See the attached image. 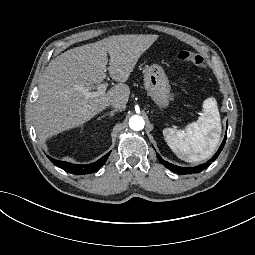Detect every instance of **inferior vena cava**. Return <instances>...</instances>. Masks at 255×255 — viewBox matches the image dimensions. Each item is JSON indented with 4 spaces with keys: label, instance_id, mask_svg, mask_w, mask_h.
<instances>
[{
    "label": "inferior vena cava",
    "instance_id": "602c4592",
    "mask_svg": "<svg viewBox=\"0 0 255 255\" xmlns=\"http://www.w3.org/2000/svg\"><path fill=\"white\" fill-rule=\"evenodd\" d=\"M111 106H112L113 108H115L116 111H121V105H120L119 102L113 101V102L111 103Z\"/></svg>",
    "mask_w": 255,
    "mask_h": 255
}]
</instances>
